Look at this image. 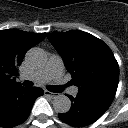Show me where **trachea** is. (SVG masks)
<instances>
[{
	"instance_id": "3493384b",
	"label": "trachea",
	"mask_w": 128,
	"mask_h": 128,
	"mask_svg": "<svg viewBox=\"0 0 128 128\" xmlns=\"http://www.w3.org/2000/svg\"><path fill=\"white\" fill-rule=\"evenodd\" d=\"M23 85L25 87H32L33 86V83L31 81L25 80L23 82ZM47 88H48L49 91L56 92V93L62 92L63 89H64V87H62V86H56V85H50Z\"/></svg>"
}]
</instances>
